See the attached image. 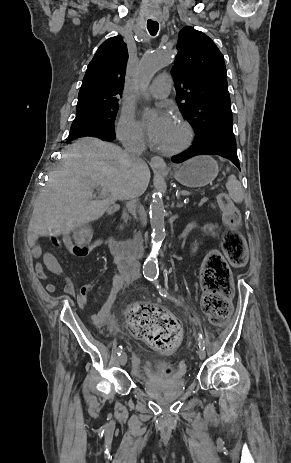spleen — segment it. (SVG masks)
I'll return each mask as SVG.
<instances>
[{
  "label": "spleen",
  "instance_id": "obj_1",
  "mask_svg": "<svg viewBox=\"0 0 291 463\" xmlns=\"http://www.w3.org/2000/svg\"><path fill=\"white\" fill-rule=\"evenodd\" d=\"M229 171V168H227ZM226 188L232 200L236 203H240L244 198V190L241 183L237 180L234 175H230L226 183Z\"/></svg>",
  "mask_w": 291,
  "mask_h": 463
}]
</instances>
